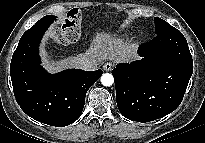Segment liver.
I'll return each mask as SVG.
<instances>
[{"mask_svg":"<svg viewBox=\"0 0 205 143\" xmlns=\"http://www.w3.org/2000/svg\"><path fill=\"white\" fill-rule=\"evenodd\" d=\"M80 56L93 59L98 65H101L104 60L121 63L130 61L131 56H136V48L115 34L100 31L93 37L85 53L69 56L52 63L45 62L43 66L51 73L59 72L65 68H79L78 58Z\"/></svg>","mask_w":205,"mask_h":143,"instance_id":"liver-1","label":"liver"}]
</instances>
